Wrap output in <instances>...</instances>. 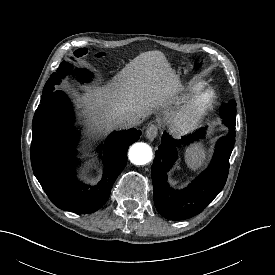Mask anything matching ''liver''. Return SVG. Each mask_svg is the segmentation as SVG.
I'll use <instances>...</instances> for the list:
<instances>
[{
  "mask_svg": "<svg viewBox=\"0 0 275 275\" xmlns=\"http://www.w3.org/2000/svg\"><path fill=\"white\" fill-rule=\"evenodd\" d=\"M177 80L174 69L160 51L141 53L104 87L89 88L78 97V106L89 117L92 128L111 131L126 113L140 118L162 106L172 96Z\"/></svg>",
  "mask_w": 275,
  "mask_h": 275,
  "instance_id": "6515ba94",
  "label": "liver"
}]
</instances>
